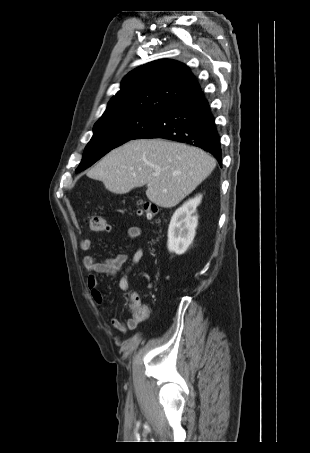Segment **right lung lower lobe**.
Masks as SVG:
<instances>
[{"label": "right lung lower lobe", "instance_id": "right-lung-lower-lobe-1", "mask_svg": "<svg viewBox=\"0 0 310 453\" xmlns=\"http://www.w3.org/2000/svg\"><path fill=\"white\" fill-rule=\"evenodd\" d=\"M144 138L184 142L211 153L222 164L215 118L200 87L170 105L136 139Z\"/></svg>", "mask_w": 310, "mask_h": 453}]
</instances>
